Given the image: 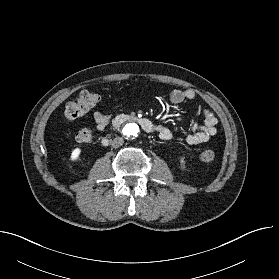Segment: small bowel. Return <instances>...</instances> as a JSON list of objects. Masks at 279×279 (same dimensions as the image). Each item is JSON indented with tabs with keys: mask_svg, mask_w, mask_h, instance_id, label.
<instances>
[{
	"mask_svg": "<svg viewBox=\"0 0 279 279\" xmlns=\"http://www.w3.org/2000/svg\"><path fill=\"white\" fill-rule=\"evenodd\" d=\"M196 93L192 89H175L170 93V100L173 104H180L186 100H193ZM203 115V124L192 123L190 132L184 136L183 141L189 145H198L207 142L211 137L216 135L217 118L215 114L206 108L200 109ZM96 127L100 131H105L110 124L111 117L108 114L96 111L93 114ZM154 132H156L163 141L173 139V133L170 128L163 124H155Z\"/></svg>",
	"mask_w": 279,
	"mask_h": 279,
	"instance_id": "small-bowel-1",
	"label": "small bowel"
}]
</instances>
